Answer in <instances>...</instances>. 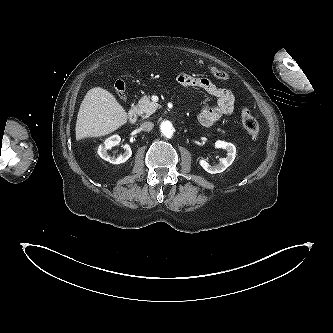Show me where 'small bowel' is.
Returning a JSON list of instances; mask_svg holds the SVG:
<instances>
[{
	"label": "small bowel",
	"mask_w": 333,
	"mask_h": 333,
	"mask_svg": "<svg viewBox=\"0 0 333 333\" xmlns=\"http://www.w3.org/2000/svg\"><path fill=\"white\" fill-rule=\"evenodd\" d=\"M177 81L184 87L200 88L216 98L217 102L211 107L204 108L198 115L201 124L212 126L224 116H230L234 112V95L226 88L216 86L205 77H198L188 73H180Z\"/></svg>",
	"instance_id": "1"
}]
</instances>
